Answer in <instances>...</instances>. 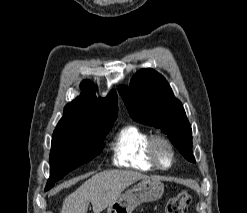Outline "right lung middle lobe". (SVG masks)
<instances>
[{"label": "right lung middle lobe", "mask_w": 247, "mask_h": 213, "mask_svg": "<svg viewBox=\"0 0 247 213\" xmlns=\"http://www.w3.org/2000/svg\"><path fill=\"white\" fill-rule=\"evenodd\" d=\"M113 123L90 131H54L50 152V178L45 190L74 170L96 157L103 150V141Z\"/></svg>", "instance_id": "right-lung-middle-lobe-1"}]
</instances>
